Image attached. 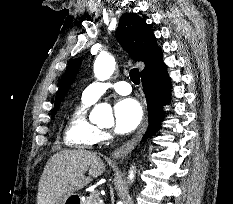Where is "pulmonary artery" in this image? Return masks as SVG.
I'll use <instances>...</instances> for the list:
<instances>
[{"instance_id": "pulmonary-artery-1", "label": "pulmonary artery", "mask_w": 233, "mask_h": 204, "mask_svg": "<svg viewBox=\"0 0 233 204\" xmlns=\"http://www.w3.org/2000/svg\"><path fill=\"white\" fill-rule=\"evenodd\" d=\"M108 90H114L121 95L131 93V86L128 82H93L89 84L83 91V97L91 102H95Z\"/></svg>"}]
</instances>
